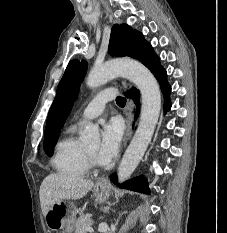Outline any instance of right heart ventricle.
<instances>
[{
    "label": "right heart ventricle",
    "mask_w": 227,
    "mask_h": 233,
    "mask_svg": "<svg viewBox=\"0 0 227 233\" xmlns=\"http://www.w3.org/2000/svg\"><path fill=\"white\" fill-rule=\"evenodd\" d=\"M74 132L75 128L71 127L58 141L51 163L61 175L80 178L87 174L89 165L85 148L75 138Z\"/></svg>",
    "instance_id": "e07e8e85"
}]
</instances>
